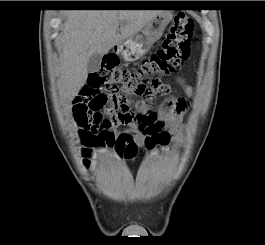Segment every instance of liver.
Wrapping results in <instances>:
<instances>
[{
    "instance_id": "obj_1",
    "label": "liver",
    "mask_w": 265,
    "mask_h": 245,
    "mask_svg": "<svg viewBox=\"0 0 265 245\" xmlns=\"http://www.w3.org/2000/svg\"><path fill=\"white\" fill-rule=\"evenodd\" d=\"M159 10H71L59 39L61 83L66 98L78 95L87 80L89 57L138 33ZM120 25V32L117 29Z\"/></svg>"
}]
</instances>
